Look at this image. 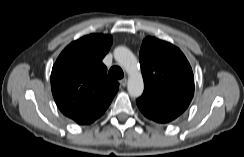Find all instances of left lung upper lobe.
<instances>
[{
	"label": "left lung upper lobe",
	"instance_id": "obj_1",
	"mask_svg": "<svg viewBox=\"0 0 244 157\" xmlns=\"http://www.w3.org/2000/svg\"><path fill=\"white\" fill-rule=\"evenodd\" d=\"M139 61L144 92L136 100L150 120L168 123L181 115L194 95V76L185 55L174 45L146 37Z\"/></svg>",
	"mask_w": 244,
	"mask_h": 157
}]
</instances>
